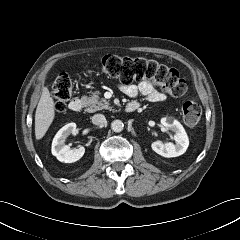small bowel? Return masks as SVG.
<instances>
[{
  "instance_id": "obj_1",
  "label": "small bowel",
  "mask_w": 240,
  "mask_h": 240,
  "mask_svg": "<svg viewBox=\"0 0 240 240\" xmlns=\"http://www.w3.org/2000/svg\"><path fill=\"white\" fill-rule=\"evenodd\" d=\"M119 89L128 97L135 98L141 94L145 96L148 101L153 103L161 102L166 98L165 94L159 91L156 86L149 81H142L138 84L129 85L121 84L119 85Z\"/></svg>"
}]
</instances>
